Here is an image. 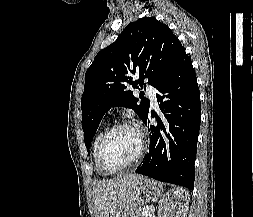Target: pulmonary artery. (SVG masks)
I'll use <instances>...</instances> for the list:
<instances>
[{"label": "pulmonary artery", "mask_w": 253, "mask_h": 217, "mask_svg": "<svg viewBox=\"0 0 253 217\" xmlns=\"http://www.w3.org/2000/svg\"><path fill=\"white\" fill-rule=\"evenodd\" d=\"M146 93L154 106H157V90L155 87L148 85L146 87Z\"/></svg>", "instance_id": "obj_1"}]
</instances>
